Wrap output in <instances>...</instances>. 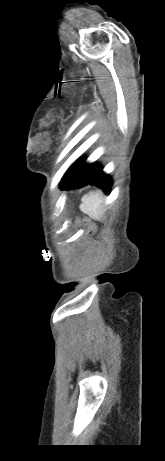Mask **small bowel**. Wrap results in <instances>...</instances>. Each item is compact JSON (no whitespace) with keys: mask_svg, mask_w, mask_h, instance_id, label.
<instances>
[{"mask_svg":"<svg viewBox=\"0 0 165 461\" xmlns=\"http://www.w3.org/2000/svg\"><path fill=\"white\" fill-rule=\"evenodd\" d=\"M72 254L74 256H79L81 254V249L80 248H73L72 249Z\"/></svg>","mask_w":165,"mask_h":461,"instance_id":"1","label":"small bowel"}]
</instances>
